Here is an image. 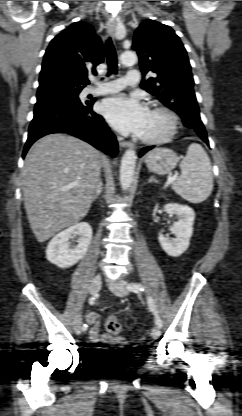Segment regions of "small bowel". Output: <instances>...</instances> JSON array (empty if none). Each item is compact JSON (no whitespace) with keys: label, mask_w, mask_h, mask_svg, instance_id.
Segmentation results:
<instances>
[{"label":"small bowel","mask_w":242,"mask_h":416,"mask_svg":"<svg viewBox=\"0 0 242 416\" xmlns=\"http://www.w3.org/2000/svg\"><path fill=\"white\" fill-rule=\"evenodd\" d=\"M87 323L91 326L89 331V340L92 344L107 345L113 341L109 335L101 334L99 329V315L95 312L87 313Z\"/></svg>","instance_id":"1"}]
</instances>
